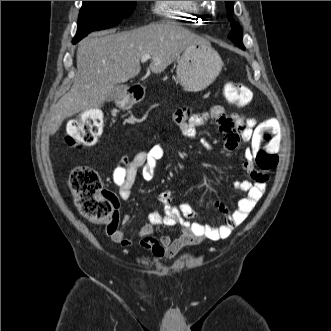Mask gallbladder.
Returning a JSON list of instances; mask_svg holds the SVG:
<instances>
[{"label":"gallbladder","mask_w":331,"mask_h":331,"mask_svg":"<svg viewBox=\"0 0 331 331\" xmlns=\"http://www.w3.org/2000/svg\"><path fill=\"white\" fill-rule=\"evenodd\" d=\"M126 91L125 85H114L110 90L109 94L106 96V101L110 102L116 99H120L124 96Z\"/></svg>","instance_id":"gallbladder-1"}]
</instances>
